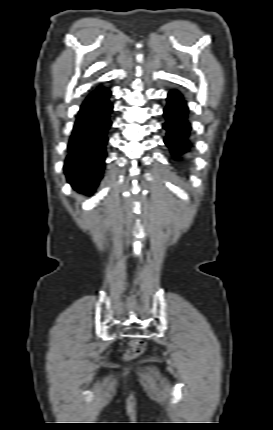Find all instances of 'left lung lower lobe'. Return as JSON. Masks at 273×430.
<instances>
[{"label":"left lung lower lobe","instance_id":"1","mask_svg":"<svg viewBox=\"0 0 273 430\" xmlns=\"http://www.w3.org/2000/svg\"><path fill=\"white\" fill-rule=\"evenodd\" d=\"M167 100L168 104L164 108L166 117L164 128L167 135L164 142L169 147L173 160L182 163L187 159L192 147L188 108L182 95L176 90L169 92Z\"/></svg>","mask_w":273,"mask_h":430}]
</instances>
